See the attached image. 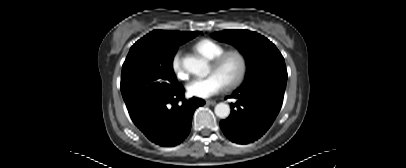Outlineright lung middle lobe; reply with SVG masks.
I'll use <instances>...</instances> for the list:
<instances>
[{
  "label": "right lung middle lobe",
  "instance_id": "right-lung-middle-lobe-1",
  "mask_svg": "<svg viewBox=\"0 0 406 168\" xmlns=\"http://www.w3.org/2000/svg\"><path fill=\"white\" fill-rule=\"evenodd\" d=\"M177 48L139 41L131 47L121 74V93L130 115L181 85L172 68Z\"/></svg>",
  "mask_w": 406,
  "mask_h": 168
}]
</instances>
